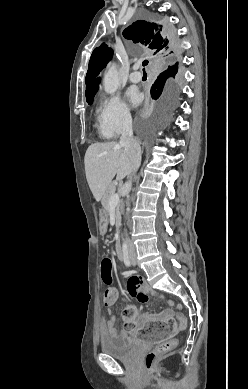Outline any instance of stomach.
I'll return each mask as SVG.
<instances>
[{
    "label": "stomach",
    "instance_id": "obj_1",
    "mask_svg": "<svg viewBox=\"0 0 248 389\" xmlns=\"http://www.w3.org/2000/svg\"><path fill=\"white\" fill-rule=\"evenodd\" d=\"M100 229H99V234L100 235H105L107 231V220L110 218V215L108 214V208L107 207H101L100 208Z\"/></svg>",
    "mask_w": 248,
    "mask_h": 389
}]
</instances>
